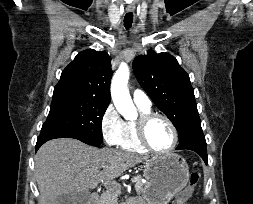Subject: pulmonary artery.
Masks as SVG:
<instances>
[{
  "mask_svg": "<svg viewBox=\"0 0 253 204\" xmlns=\"http://www.w3.org/2000/svg\"><path fill=\"white\" fill-rule=\"evenodd\" d=\"M132 98L134 103L143 109H150L151 107V100L148 97V95L140 90V89H135L132 93Z\"/></svg>",
  "mask_w": 253,
  "mask_h": 204,
  "instance_id": "obj_1",
  "label": "pulmonary artery"
}]
</instances>
